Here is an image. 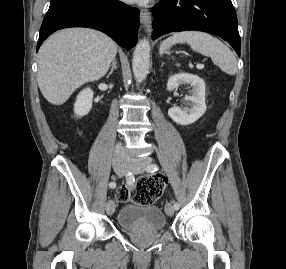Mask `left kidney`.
I'll return each mask as SVG.
<instances>
[{
	"instance_id": "left-kidney-1",
	"label": "left kidney",
	"mask_w": 286,
	"mask_h": 269,
	"mask_svg": "<svg viewBox=\"0 0 286 269\" xmlns=\"http://www.w3.org/2000/svg\"><path fill=\"white\" fill-rule=\"evenodd\" d=\"M181 84L193 86L191 95L185 96L189 102V108L173 106L168 110L170 118L180 125H189L197 121L206 111L205 103V83L197 75L189 73H179L172 75L167 82V90L177 89Z\"/></svg>"
}]
</instances>
